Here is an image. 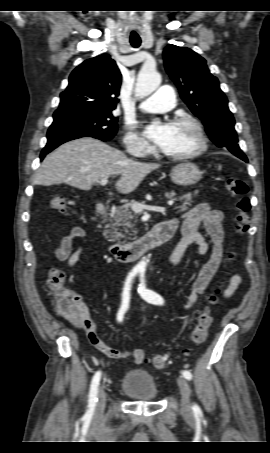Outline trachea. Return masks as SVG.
I'll return each instance as SVG.
<instances>
[{"mask_svg":"<svg viewBox=\"0 0 270 453\" xmlns=\"http://www.w3.org/2000/svg\"><path fill=\"white\" fill-rule=\"evenodd\" d=\"M130 44H131L134 48H138V47L141 45V41H130Z\"/></svg>","mask_w":270,"mask_h":453,"instance_id":"1","label":"trachea"}]
</instances>
